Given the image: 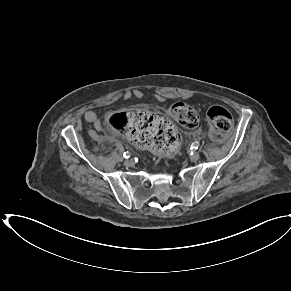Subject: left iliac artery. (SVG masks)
Returning <instances> with one entry per match:
<instances>
[{
	"label": "left iliac artery",
	"mask_w": 291,
	"mask_h": 291,
	"mask_svg": "<svg viewBox=\"0 0 291 291\" xmlns=\"http://www.w3.org/2000/svg\"><path fill=\"white\" fill-rule=\"evenodd\" d=\"M199 147V143L198 142H194L192 145H191V149H198Z\"/></svg>",
	"instance_id": "obj_1"
}]
</instances>
